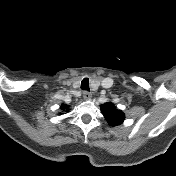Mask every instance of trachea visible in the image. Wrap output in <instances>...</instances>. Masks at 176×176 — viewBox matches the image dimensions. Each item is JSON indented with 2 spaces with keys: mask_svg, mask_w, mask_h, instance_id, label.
I'll return each mask as SVG.
<instances>
[{
  "mask_svg": "<svg viewBox=\"0 0 176 176\" xmlns=\"http://www.w3.org/2000/svg\"><path fill=\"white\" fill-rule=\"evenodd\" d=\"M81 89L85 90V91H89V79L88 78H84L81 82Z\"/></svg>",
  "mask_w": 176,
  "mask_h": 176,
  "instance_id": "1",
  "label": "trachea"
}]
</instances>
